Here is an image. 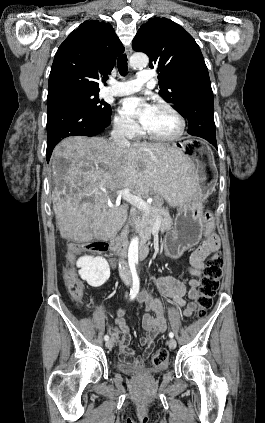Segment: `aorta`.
<instances>
[{
	"label": "aorta",
	"instance_id": "762f6f07",
	"mask_svg": "<svg viewBox=\"0 0 265 423\" xmlns=\"http://www.w3.org/2000/svg\"><path fill=\"white\" fill-rule=\"evenodd\" d=\"M149 63V58L144 53H135L130 57V66L133 68H143ZM139 239L133 237L128 248V261L131 264L138 263Z\"/></svg>",
	"mask_w": 265,
	"mask_h": 423
}]
</instances>
